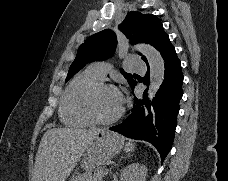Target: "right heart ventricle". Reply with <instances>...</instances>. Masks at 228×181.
<instances>
[{
	"mask_svg": "<svg viewBox=\"0 0 228 181\" xmlns=\"http://www.w3.org/2000/svg\"><path fill=\"white\" fill-rule=\"evenodd\" d=\"M101 80L86 73L77 74L67 87L62 99L61 118L73 125H91L94 121L87 112V102L93 87Z\"/></svg>",
	"mask_w": 228,
	"mask_h": 181,
	"instance_id": "obj_1",
	"label": "right heart ventricle"
}]
</instances>
